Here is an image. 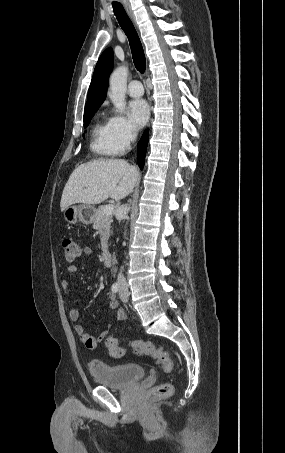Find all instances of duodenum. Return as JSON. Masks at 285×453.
Here are the masks:
<instances>
[{"mask_svg":"<svg viewBox=\"0 0 285 453\" xmlns=\"http://www.w3.org/2000/svg\"><path fill=\"white\" fill-rule=\"evenodd\" d=\"M103 262L105 265H110L112 262V255L109 251H105L102 254Z\"/></svg>","mask_w":285,"mask_h":453,"instance_id":"obj_1","label":"duodenum"}]
</instances>
